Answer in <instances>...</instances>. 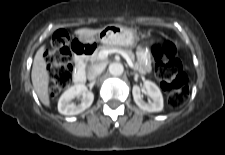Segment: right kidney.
<instances>
[{
  "label": "right kidney",
  "mask_w": 225,
  "mask_h": 155,
  "mask_svg": "<svg viewBox=\"0 0 225 155\" xmlns=\"http://www.w3.org/2000/svg\"><path fill=\"white\" fill-rule=\"evenodd\" d=\"M83 96L81 104L75 105L71 100L78 96ZM94 100V94L84 85L76 84L67 89L60 97L58 111L63 115H77L89 108Z\"/></svg>",
  "instance_id": "1"
}]
</instances>
